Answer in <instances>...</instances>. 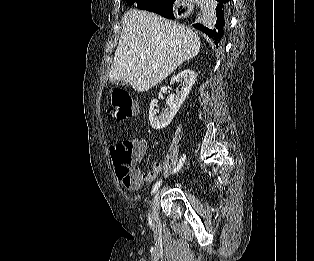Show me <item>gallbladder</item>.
<instances>
[{"mask_svg": "<svg viewBox=\"0 0 314 261\" xmlns=\"http://www.w3.org/2000/svg\"><path fill=\"white\" fill-rule=\"evenodd\" d=\"M114 84H117V85H126L127 83L124 82V81H113Z\"/></svg>", "mask_w": 314, "mask_h": 261, "instance_id": "1", "label": "gallbladder"}]
</instances>
